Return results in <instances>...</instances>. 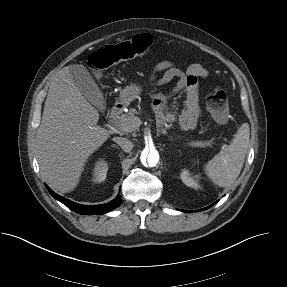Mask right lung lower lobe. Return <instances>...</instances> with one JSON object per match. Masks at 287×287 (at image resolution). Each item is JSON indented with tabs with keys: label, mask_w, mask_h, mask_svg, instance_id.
Segmentation results:
<instances>
[{
	"label": "right lung lower lobe",
	"mask_w": 287,
	"mask_h": 287,
	"mask_svg": "<svg viewBox=\"0 0 287 287\" xmlns=\"http://www.w3.org/2000/svg\"><path fill=\"white\" fill-rule=\"evenodd\" d=\"M48 189L49 193L57 200L62 202L64 205H66L68 208L71 210L79 213V214H104L107 213L114 208L118 207L121 204L120 196H118L115 200L106 203V204H101V205H81L77 204L75 202H72L68 199H65L59 195H57L55 192H53L48 186H46Z\"/></svg>",
	"instance_id": "obj_1"
}]
</instances>
